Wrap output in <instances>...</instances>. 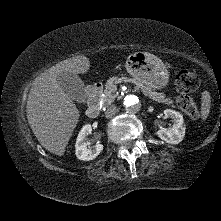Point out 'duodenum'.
I'll use <instances>...</instances> for the list:
<instances>
[{"instance_id":"obj_1","label":"duodenum","mask_w":221,"mask_h":221,"mask_svg":"<svg viewBox=\"0 0 221 221\" xmlns=\"http://www.w3.org/2000/svg\"><path fill=\"white\" fill-rule=\"evenodd\" d=\"M103 91V85L101 83L92 84L87 91L88 108L86 115L89 118H96L100 112V96Z\"/></svg>"}]
</instances>
